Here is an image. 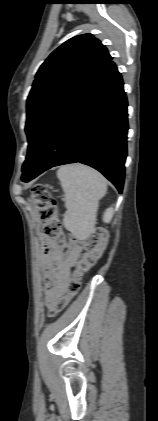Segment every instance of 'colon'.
<instances>
[{"instance_id":"5ec220e1","label":"colon","mask_w":158,"mask_h":421,"mask_svg":"<svg viewBox=\"0 0 158 421\" xmlns=\"http://www.w3.org/2000/svg\"><path fill=\"white\" fill-rule=\"evenodd\" d=\"M31 197L39 211V218L43 224L42 233L44 237L51 239L56 245L60 246L65 256L69 255L70 245L63 231L56 199L43 185L33 187ZM80 243L85 252L78 262L72 277L67 282L65 295L50 309V316H55L62 312L78 294L84 274L97 263L107 247L108 233L103 228H94L87 236L80 240Z\"/></svg>"}]
</instances>
